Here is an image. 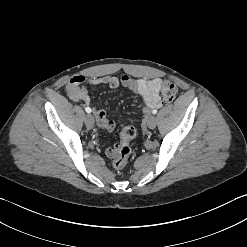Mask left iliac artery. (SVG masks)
<instances>
[{"instance_id": "1", "label": "left iliac artery", "mask_w": 247, "mask_h": 247, "mask_svg": "<svg viewBox=\"0 0 247 247\" xmlns=\"http://www.w3.org/2000/svg\"><path fill=\"white\" fill-rule=\"evenodd\" d=\"M152 113H153V114H156V113H157V110H156V109H154V110L152 111Z\"/></svg>"}]
</instances>
